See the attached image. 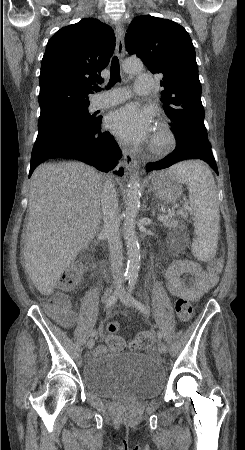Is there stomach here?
<instances>
[{
	"label": "stomach",
	"mask_w": 245,
	"mask_h": 450,
	"mask_svg": "<svg viewBox=\"0 0 245 450\" xmlns=\"http://www.w3.org/2000/svg\"><path fill=\"white\" fill-rule=\"evenodd\" d=\"M181 183L168 172L156 173L151 179L155 196L166 203H174L181 197L183 193Z\"/></svg>",
	"instance_id": "1"
}]
</instances>
